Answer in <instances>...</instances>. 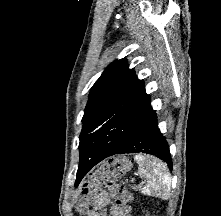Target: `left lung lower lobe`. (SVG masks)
Wrapping results in <instances>:
<instances>
[{"label": "left lung lower lobe", "mask_w": 221, "mask_h": 216, "mask_svg": "<svg viewBox=\"0 0 221 216\" xmlns=\"http://www.w3.org/2000/svg\"><path fill=\"white\" fill-rule=\"evenodd\" d=\"M140 152L157 156L161 160L165 161L170 170H172V160L168 143L157 126V117L153 110L147 119L140 125L132 138L120 149L114 150L108 145L105 146L101 144L84 151L80 156L75 186L80 183L82 178L93 166L103 159L115 154Z\"/></svg>", "instance_id": "0a47b994"}]
</instances>
